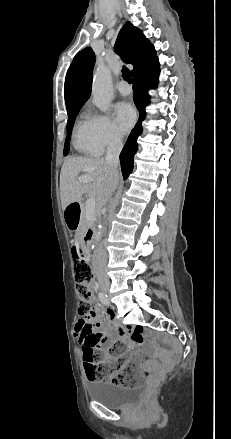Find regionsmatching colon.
Returning a JSON list of instances; mask_svg holds the SVG:
<instances>
[{
    "label": "colon",
    "instance_id": "colon-1",
    "mask_svg": "<svg viewBox=\"0 0 231 439\" xmlns=\"http://www.w3.org/2000/svg\"><path fill=\"white\" fill-rule=\"evenodd\" d=\"M72 257L76 289L79 295L78 312L81 316H87L91 312V291L89 286L94 276L93 270L77 246L72 249ZM121 351L122 347L119 344L110 349L112 355H118ZM83 360L87 378L91 381H102L109 378L111 382L121 386H132L138 382L132 368L121 367L110 373L115 366V362L103 361L102 355L97 349L86 348L83 353ZM154 387L155 385L149 381L144 395L145 400L151 397Z\"/></svg>",
    "mask_w": 231,
    "mask_h": 439
}]
</instances>
